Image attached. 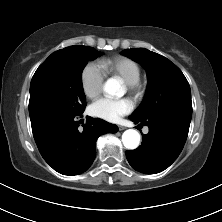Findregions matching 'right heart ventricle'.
<instances>
[{"label": "right heart ventricle", "mask_w": 222, "mask_h": 222, "mask_svg": "<svg viewBox=\"0 0 222 222\" xmlns=\"http://www.w3.org/2000/svg\"><path fill=\"white\" fill-rule=\"evenodd\" d=\"M100 66L104 73L120 77L125 83L140 80L141 67L133 59L123 56L102 60Z\"/></svg>", "instance_id": "right-heart-ventricle-1"}]
</instances>
